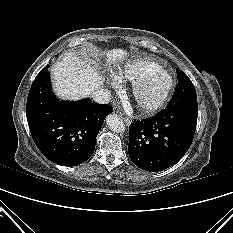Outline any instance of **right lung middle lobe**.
I'll return each instance as SVG.
<instances>
[{
  "label": "right lung middle lobe",
  "mask_w": 233,
  "mask_h": 233,
  "mask_svg": "<svg viewBox=\"0 0 233 233\" xmlns=\"http://www.w3.org/2000/svg\"><path fill=\"white\" fill-rule=\"evenodd\" d=\"M48 67H49V65H48L47 67H45V68L37 75V77L43 75L46 71H48Z\"/></svg>",
  "instance_id": "dd1d6c3e"
}]
</instances>
